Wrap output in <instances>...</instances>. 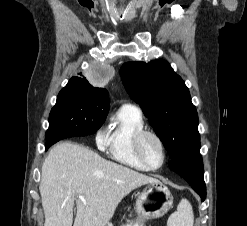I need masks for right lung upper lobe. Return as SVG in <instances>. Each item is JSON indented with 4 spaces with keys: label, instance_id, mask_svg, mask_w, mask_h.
Listing matches in <instances>:
<instances>
[{
    "label": "right lung upper lobe",
    "instance_id": "obj_1",
    "mask_svg": "<svg viewBox=\"0 0 247 226\" xmlns=\"http://www.w3.org/2000/svg\"><path fill=\"white\" fill-rule=\"evenodd\" d=\"M65 87L84 92L101 100L105 105V109L109 110L110 101L108 91L104 88L92 86L85 77H72Z\"/></svg>",
    "mask_w": 247,
    "mask_h": 226
}]
</instances>
